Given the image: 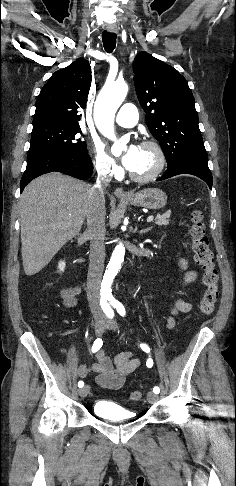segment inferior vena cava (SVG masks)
Masks as SVG:
<instances>
[{
    "mask_svg": "<svg viewBox=\"0 0 236 486\" xmlns=\"http://www.w3.org/2000/svg\"><path fill=\"white\" fill-rule=\"evenodd\" d=\"M97 179L91 187L90 202L86 211V234L90 239V264L87 275V299L94 315L102 314L100 307V284L105 260V197L104 190L111 181L107 163L96 166Z\"/></svg>",
    "mask_w": 236,
    "mask_h": 486,
    "instance_id": "obj_1",
    "label": "inferior vena cava"
}]
</instances>
